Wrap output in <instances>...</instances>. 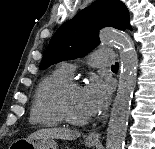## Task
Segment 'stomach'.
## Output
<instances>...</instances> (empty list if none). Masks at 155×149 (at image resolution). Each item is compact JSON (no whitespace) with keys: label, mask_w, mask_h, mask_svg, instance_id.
I'll return each instance as SVG.
<instances>
[{"label":"stomach","mask_w":155,"mask_h":149,"mask_svg":"<svg viewBox=\"0 0 155 149\" xmlns=\"http://www.w3.org/2000/svg\"><path fill=\"white\" fill-rule=\"evenodd\" d=\"M85 145L91 147L94 142L85 141ZM14 149H58L57 142L50 137L18 139L12 144Z\"/></svg>","instance_id":"1"}]
</instances>
